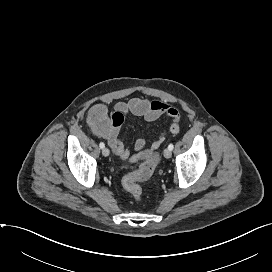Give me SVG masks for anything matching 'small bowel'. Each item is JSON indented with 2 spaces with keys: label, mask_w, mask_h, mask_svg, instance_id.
I'll return each mask as SVG.
<instances>
[{
  "label": "small bowel",
  "mask_w": 272,
  "mask_h": 272,
  "mask_svg": "<svg viewBox=\"0 0 272 272\" xmlns=\"http://www.w3.org/2000/svg\"><path fill=\"white\" fill-rule=\"evenodd\" d=\"M116 111L123 116L133 115L142 118L148 123L158 120L165 115L171 119L170 131L173 134H178L179 126V112L169 103L159 100H147L143 98H132L127 102H118L116 104ZM120 127L109 126L104 130H97V135L106 139L113 152L122 160L135 162L138 160L151 161L154 157V151L162 144L165 137L160 135L150 147L144 139L139 138L134 143L135 153L131 154L125 147L122 140L119 138Z\"/></svg>",
  "instance_id": "1"
}]
</instances>
